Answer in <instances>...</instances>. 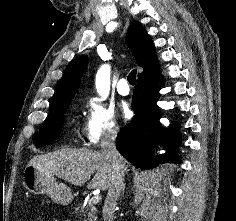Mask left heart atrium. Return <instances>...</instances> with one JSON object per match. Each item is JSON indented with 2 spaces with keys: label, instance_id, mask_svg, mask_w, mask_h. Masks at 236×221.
I'll return each instance as SVG.
<instances>
[{
  "label": "left heart atrium",
  "instance_id": "39dd6f15",
  "mask_svg": "<svg viewBox=\"0 0 236 221\" xmlns=\"http://www.w3.org/2000/svg\"><path fill=\"white\" fill-rule=\"evenodd\" d=\"M122 113L125 118H129L131 115V110L127 104H123Z\"/></svg>",
  "mask_w": 236,
  "mask_h": 221
}]
</instances>
